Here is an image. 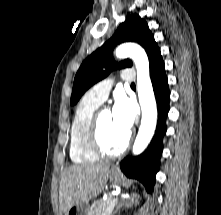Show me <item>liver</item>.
I'll return each mask as SVG.
<instances>
[{"label": "liver", "instance_id": "liver-1", "mask_svg": "<svg viewBox=\"0 0 221 215\" xmlns=\"http://www.w3.org/2000/svg\"><path fill=\"white\" fill-rule=\"evenodd\" d=\"M109 167V164H83L65 169L59 187L60 212L99 195L107 182Z\"/></svg>", "mask_w": 221, "mask_h": 215}]
</instances>
